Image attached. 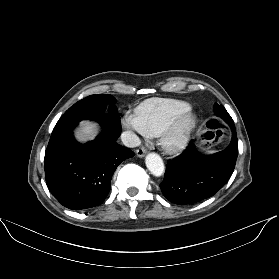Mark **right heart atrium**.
I'll use <instances>...</instances> for the list:
<instances>
[{"label": "right heart atrium", "instance_id": "right-heart-atrium-1", "mask_svg": "<svg viewBox=\"0 0 279 279\" xmlns=\"http://www.w3.org/2000/svg\"><path fill=\"white\" fill-rule=\"evenodd\" d=\"M122 125L126 129L131 130L138 135L145 134L136 112L135 113L127 112L122 120Z\"/></svg>", "mask_w": 279, "mask_h": 279}]
</instances>
